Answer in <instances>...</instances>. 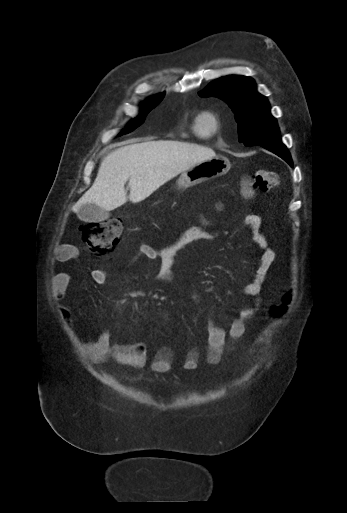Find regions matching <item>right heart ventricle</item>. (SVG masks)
<instances>
[{"label":"right heart ventricle","instance_id":"right-heart-ventricle-1","mask_svg":"<svg viewBox=\"0 0 347 513\" xmlns=\"http://www.w3.org/2000/svg\"><path fill=\"white\" fill-rule=\"evenodd\" d=\"M191 129L192 131L200 136V137H206L205 135H203L200 130H199V127H198V116L194 119V121L192 122V126H191Z\"/></svg>","mask_w":347,"mask_h":513}]
</instances>
